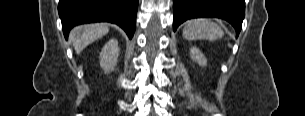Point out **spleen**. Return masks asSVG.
<instances>
[{"label": "spleen", "mask_w": 305, "mask_h": 116, "mask_svg": "<svg viewBox=\"0 0 305 116\" xmlns=\"http://www.w3.org/2000/svg\"><path fill=\"white\" fill-rule=\"evenodd\" d=\"M182 35L185 39L192 41L198 39L213 41L221 38L224 33L218 24L208 19H192L187 21Z\"/></svg>", "instance_id": "3e777b00"}]
</instances>
